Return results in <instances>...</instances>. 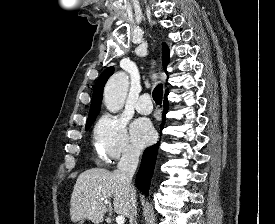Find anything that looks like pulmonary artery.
I'll return each instance as SVG.
<instances>
[{
    "instance_id": "e3ab8cb5",
    "label": "pulmonary artery",
    "mask_w": 275,
    "mask_h": 224,
    "mask_svg": "<svg viewBox=\"0 0 275 224\" xmlns=\"http://www.w3.org/2000/svg\"><path fill=\"white\" fill-rule=\"evenodd\" d=\"M135 108L141 114H150L153 109L150 96L148 94L141 95L135 104Z\"/></svg>"
}]
</instances>
